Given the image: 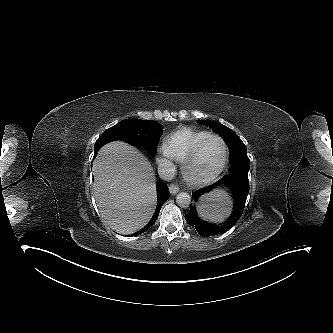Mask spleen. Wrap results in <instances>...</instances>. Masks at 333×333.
Here are the masks:
<instances>
[{
	"mask_svg": "<svg viewBox=\"0 0 333 333\" xmlns=\"http://www.w3.org/2000/svg\"><path fill=\"white\" fill-rule=\"evenodd\" d=\"M231 201L224 190H215L201 199L199 215L206 220L221 221L230 212Z\"/></svg>",
	"mask_w": 333,
	"mask_h": 333,
	"instance_id": "1",
	"label": "spleen"
}]
</instances>
